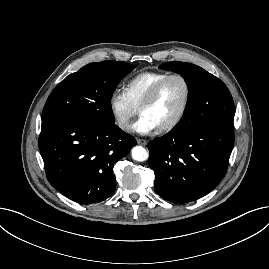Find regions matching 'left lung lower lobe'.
<instances>
[{"label":"left lung lower lobe","instance_id":"left-lung-lower-lobe-1","mask_svg":"<svg viewBox=\"0 0 269 269\" xmlns=\"http://www.w3.org/2000/svg\"><path fill=\"white\" fill-rule=\"evenodd\" d=\"M233 140V122L215 121L189 132L170 131L149 142L155 192L175 203L205 196L224 177Z\"/></svg>","mask_w":269,"mask_h":269}]
</instances>
